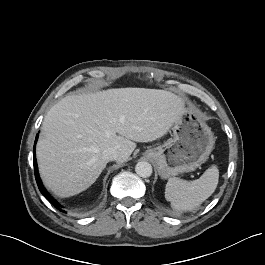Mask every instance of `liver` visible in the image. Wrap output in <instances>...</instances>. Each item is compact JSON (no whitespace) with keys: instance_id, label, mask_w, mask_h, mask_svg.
Segmentation results:
<instances>
[{"instance_id":"obj_1","label":"liver","mask_w":265,"mask_h":265,"mask_svg":"<svg viewBox=\"0 0 265 265\" xmlns=\"http://www.w3.org/2000/svg\"><path fill=\"white\" fill-rule=\"evenodd\" d=\"M185 112L177 95L157 89L119 88L66 96L46 114L36 147L41 178L60 197L89 188L106 167L104 150L128 160L135 142L161 138Z\"/></svg>"}]
</instances>
